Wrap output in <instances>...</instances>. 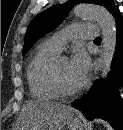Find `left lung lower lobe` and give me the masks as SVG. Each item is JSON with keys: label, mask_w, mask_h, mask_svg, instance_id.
<instances>
[{"label": "left lung lower lobe", "mask_w": 123, "mask_h": 130, "mask_svg": "<svg viewBox=\"0 0 123 130\" xmlns=\"http://www.w3.org/2000/svg\"><path fill=\"white\" fill-rule=\"evenodd\" d=\"M116 23V48L111 64L108 85L101 80L95 81L89 92L72 106L88 120L102 118L113 128L123 130V105L120 103L117 89L123 83V16L119 9L113 13Z\"/></svg>", "instance_id": "obj_1"}]
</instances>
